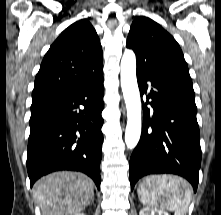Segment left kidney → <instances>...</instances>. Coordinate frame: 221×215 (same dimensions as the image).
Segmentation results:
<instances>
[{
    "mask_svg": "<svg viewBox=\"0 0 221 215\" xmlns=\"http://www.w3.org/2000/svg\"><path fill=\"white\" fill-rule=\"evenodd\" d=\"M139 215H170V214L161 209L142 208L139 212Z\"/></svg>",
    "mask_w": 221,
    "mask_h": 215,
    "instance_id": "5707ae66",
    "label": "left kidney"
}]
</instances>
